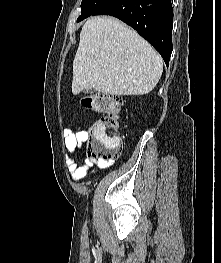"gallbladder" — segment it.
Listing matches in <instances>:
<instances>
[{
  "label": "gallbladder",
  "instance_id": "gallbladder-1",
  "mask_svg": "<svg viewBox=\"0 0 221 263\" xmlns=\"http://www.w3.org/2000/svg\"><path fill=\"white\" fill-rule=\"evenodd\" d=\"M83 92H84V93H93L94 90H93V89H88V90H87V89H84Z\"/></svg>",
  "mask_w": 221,
  "mask_h": 263
}]
</instances>
